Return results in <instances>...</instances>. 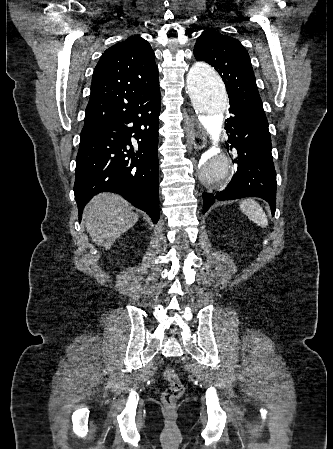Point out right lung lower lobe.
Wrapping results in <instances>:
<instances>
[{"mask_svg": "<svg viewBox=\"0 0 333 449\" xmlns=\"http://www.w3.org/2000/svg\"><path fill=\"white\" fill-rule=\"evenodd\" d=\"M160 110L161 96L157 93L113 119L82 129L74 184L80 220L93 195L110 191L157 223Z\"/></svg>", "mask_w": 333, "mask_h": 449, "instance_id": "1", "label": "right lung lower lobe"}]
</instances>
